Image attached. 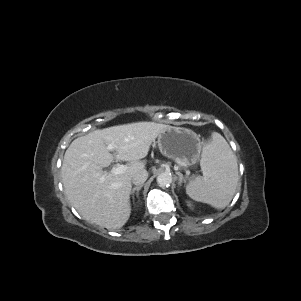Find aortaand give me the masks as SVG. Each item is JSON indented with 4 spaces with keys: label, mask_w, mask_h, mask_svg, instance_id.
I'll return each instance as SVG.
<instances>
[{
    "label": "aorta",
    "mask_w": 301,
    "mask_h": 301,
    "mask_svg": "<svg viewBox=\"0 0 301 301\" xmlns=\"http://www.w3.org/2000/svg\"><path fill=\"white\" fill-rule=\"evenodd\" d=\"M156 180L160 187H166L172 183V175L169 172H162L157 176Z\"/></svg>",
    "instance_id": "obj_1"
}]
</instances>
